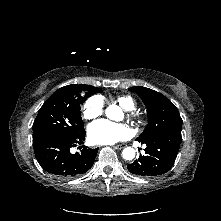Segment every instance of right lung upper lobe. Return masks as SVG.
<instances>
[{
    "label": "right lung upper lobe",
    "mask_w": 221,
    "mask_h": 221,
    "mask_svg": "<svg viewBox=\"0 0 221 221\" xmlns=\"http://www.w3.org/2000/svg\"><path fill=\"white\" fill-rule=\"evenodd\" d=\"M91 87H93V86H91ZM93 88H95V89H99V88H97V87H93ZM91 91V90H90ZM94 94V93H93Z\"/></svg>",
    "instance_id": "1"
}]
</instances>
